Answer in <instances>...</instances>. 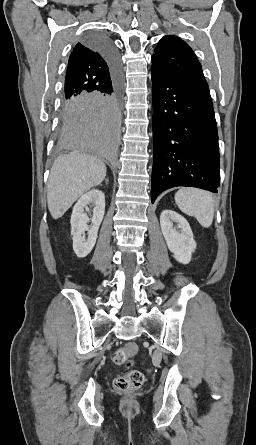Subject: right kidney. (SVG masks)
<instances>
[{
	"mask_svg": "<svg viewBox=\"0 0 256 445\" xmlns=\"http://www.w3.org/2000/svg\"><path fill=\"white\" fill-rule=\"evenodd\" d=\"M89 204H94L93 216L90 229L87 226L88 216L84 209ZM105 196L101 190L93 189L83 194L75 204L71 215V235L73 239V250L79 258L86 257L93 249L99 226L104 218ZM88 231V237L85 239L84 233Z\"/></svg>",
	"mask_w": 256,
	"mask_h": 445,
	"instance_id": "ca27d5eb",
	"label": "right kidney"
}]
</instances>
